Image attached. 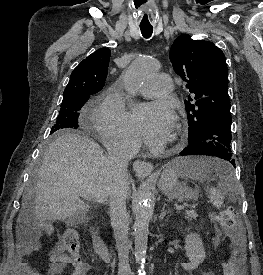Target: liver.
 Segmentation results:
<instances>
[{
	"mask_svg": "<svg viewBox=\"0 0 263 275\" xmlns=\"http://www.w3.org/2000/svg\"><path fill=\"white\" fill-rule=\"evenodd\" d=\"M112 184L107 156L98 143L74 132L61 134L45 152L34 187L33 206L28 203L26 193L17 223L33 219L40 223L56 220L73 223L90 209L82 195L105 204Z\"/></svg>",
	"mask_w": 263,
	"mask_h": 275,
	"instance_id": "6515ba94",
	"label": "liver"
}]
</instances>
